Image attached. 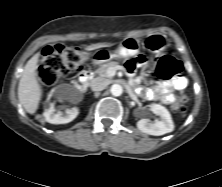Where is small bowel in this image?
Masks as SVG:
<instances>
[{"label": "small bowel", "mask_w": 222, "mask_h": 187, "mask_svg": "<svg viewBox=\"0 0 222 187\" xmlns=\"http://www.w3.org/2000/svg\"><path fill=\"white\" fill-rule=\"evenodd\" d=\"M130 66H132L130 64ZM187 86L185 77L176 76L170 82L159 83L155 88L147 89L143 96L147 100L160 101L163 104L171 105L175 102L176 97L173 90H183Z\"/></svg>", "instance_id": "small-bowel-1"}]
</instances>
